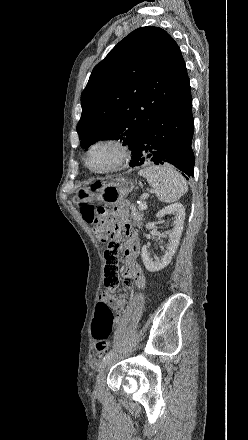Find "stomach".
I'll return each instance as SVG.
<instances>
[{"label":"stomach","mask_w":248,"mask_h":440,"mask_svg":"<svg viewBox=\"0 0 248 440\" xmlns=\"http://www.w3.org/2000/svg\"><path fill=\"white\" fill-rule=\"evenodd\" d=\"M130 190V188L116 183L107 184L97 192H92L89 187H84L75 192L74 201L78 203L81 199L90 201L96 198L108 205H113L123 201Z\"/></svg>","instance_id":"obj_1"}]
</instances>
